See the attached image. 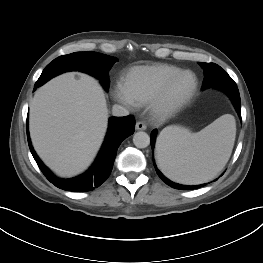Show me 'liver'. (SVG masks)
<instances>
[{"label":"liver","mask_w":263,"mask_h":263,"mask_svg":"<svg viewBox=\"0 0 263 263\" xmlns=\"http://www.w3.org/2000/svg\"><path fill=\"white\" fill-rule=\"evenodd\" d=\"M108 123L105 95L87 74L57 76L37 90L30 104L33 146L57 175L84 171L99 150Z\"/></svg>","instance_id":"1"}]
</instances>
